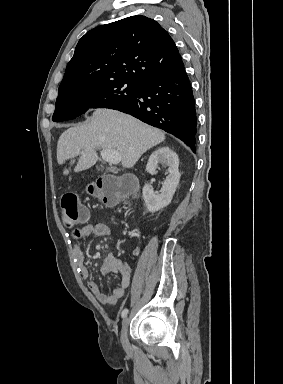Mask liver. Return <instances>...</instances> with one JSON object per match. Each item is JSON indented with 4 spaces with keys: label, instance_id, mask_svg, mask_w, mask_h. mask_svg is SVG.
Returning <instances> with one entry per match:
<instances>
[{
    "label": "liver",
    "instance_id": "liver-1",
    "mask_svg": "<svg viewBox=\"0 0 283 384\" xmlns=\"http://www.w3.org/2000/svg\"><path fill=\"white\" fill-rule=\"evenodd\" d=\"M165 134L157 128L147 126L140 120L115 112V110H95L89 124L80 128H68L61 134L57 144V162L80 156L74 172H82L94 166L99 150H116L121 156L123 168H133L144 152L164 142ZM64 176L69 170H64Z\"/></svg>",
    "mask_w": 283,
    "mask_h": 384
}]
</instances>
